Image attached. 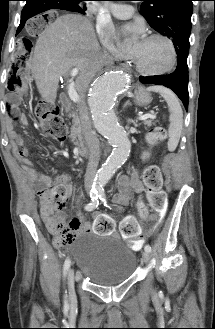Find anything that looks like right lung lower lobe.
Instances as JSON below:
<instances>
[{
	"instance_id": "right-lung-lower-lobe-1",
	"label": "right lung lower lobe",
	"mask_w": 215,
	"mask_h": 329,
	"mask_svg": "<svg viewBox=\"0 0 215 329\" xmlns=\"http://www.w3.org/2000/svg\"><path fill=\"white\" fill-rule=\"evenodd\" d=\"M48 9H61L76 12L65 0H26V5L22 10L21 21L17 29V34L22 30L25 22L29 18ZM78 13L85 14V11H79Z\"/></svg>"
}]
</instances>
